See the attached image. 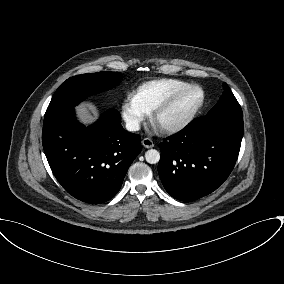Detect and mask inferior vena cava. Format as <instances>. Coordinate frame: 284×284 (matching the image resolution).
I'll return each instance as SVG.
<instances>
[{
    "instance_id": "602c4592",
    "label": "inferior vena cava",
    "mask_w": 284,
    "mask_h": 284,
    "mask_svg": "<svg viewBox=\"0 0 284 284\" xmlns=\"http://www.w3.org/2000/svg\"><path fill=\"white\" fill-rule=\"evenodd\" d=\"M126 129L128 131H138L140 129V124L137 120H128L126 122Z\"/></svg>"
}]
</instances>
